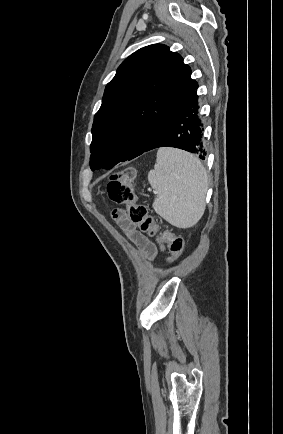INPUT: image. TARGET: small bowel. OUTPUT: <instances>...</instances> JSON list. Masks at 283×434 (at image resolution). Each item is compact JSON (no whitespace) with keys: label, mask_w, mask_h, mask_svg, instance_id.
<instances>
[{"label":"small bowel","mask_w":283,"mask_h":434,"mask_svg":"<svg viewBox=\"0 0 283 434\" xmlns=\"http://www.w3.org/2000/svg\"><path fill=\"white\" fill-rule=\"evenodd\" d=\"M112 217L119 228L128 237V239L134 243L149 259H154L160 251H164V245L160 239L157 238V243H154L144 234L139 232L136 229V225L129 220L128 215L124 210L115 209L112 212Z\"/></svg>","instance_id":"1"}]
</instances>
